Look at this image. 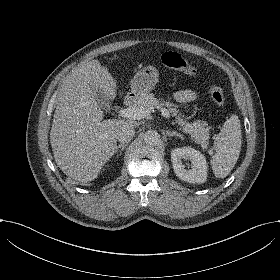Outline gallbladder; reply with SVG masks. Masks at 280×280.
Here are the masks:
<instances>
[{"mask_svg": "<svg viewBox=\"0 0 280 280\" xmlns=\"http://www.w3.org/2000/svg\"><path fill=\"white\" fill-rule=\"evenodd\" d=\"M92 93H95V99L98 102L99 106H101L106 111H110L111 102L106 98L105 93L100 91L99 89L96 90L95 88H92Z\"/></svg>", "mask_w": 280, "mask_h": 280, "instance_id": "1", "label": "gallbladder"}]
</instances>
